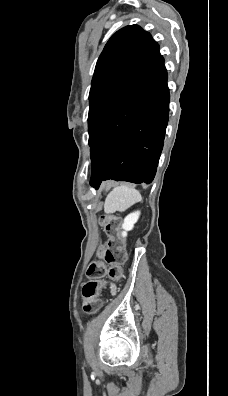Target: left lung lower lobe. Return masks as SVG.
<instances>
[{
  "mask_svg": "<svg viewBox=\"0 0 228 396\" xmlns=\"http://www.w3.org/2000/svg\"><path fill=\"white\" fill-rule=\"evenodd\" d=\"M169 89L157 45L135 83L114 105L91 145L90 184L152 182L168 123Z\"/></svg>",
  "mask_w": 228,
  "mask_h": 396,
  "instance_id": "obj_1",
  "label": "left lung lower lobe"
}]
</instances>
